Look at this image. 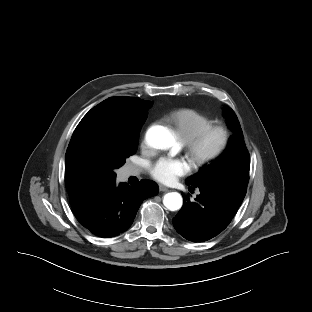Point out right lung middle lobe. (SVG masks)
I'll list each match as a JSON object with an SVG mask.
<instances>
[{"mask_svg":"<svg viewBox=\"0 0 312 312\" xmlns=\"http://www.w3.org/2000/svg\"><path fill=\"white\" fill-rule=\"evenodd\" d=\"M147 115L133 120L97 116L81 121L66 152V175L85 184L107 185L116 180L115 169L137 150Z\"/></svg>","mask_w":312,"mask_h":312,"instance_id":"1","label":"right lung middle lobe"}]
</instances>
